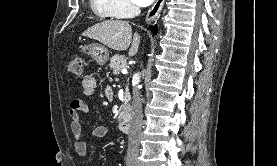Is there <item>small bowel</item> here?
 Segmentation results:
<instances>
[{"label":"small bowel","mask_w":277,"mask_h":166,"mask_svg":"<svg viewBox=\"0 0 277 166\" xmlns=\"http://www.w3.org/2000/svg\"><path fill=\"white\" fill-rule=\"evenodd\" d=\"M82 95L90 96L92 95L97 87V78L94 74H87L82 78ZM106 96L108 98L112 97V92L110 90L106 91ZM90 111L89 105L81 100L74 99L69 105V118L71 120L70 127L74 135V148L76 153L81 158H86L88 156V148L85 139L82 136V122L81 114L88 113ZM107 129L105 126H97L92 132L91 137L94 139L103 138L106 135Z\"/></svg>","instance_id":"small-bowel-1"}]
</instances>
